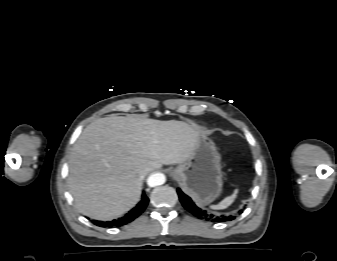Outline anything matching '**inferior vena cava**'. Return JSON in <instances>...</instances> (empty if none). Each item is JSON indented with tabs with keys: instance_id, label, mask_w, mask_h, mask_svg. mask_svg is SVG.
Returning <instances> with one entry per match:
<instances>
[{
	"instance_id": "obj_1",
	"label": "inferior vena cava",
	"mask_w": 337,
	"mask_h": 261,
	"mask_svg": "<svg viewBox=\"0 0 337 261\" xmlns=\"http://www.w3.org/2000/svg\"><path fill=\"white\" fill-rule=\"evenodd\" d=\"M147 172H148V170H145L144 172H142L141 177L144 178L145 175L147 174Z\"/></svg>"
}]
</instances>
